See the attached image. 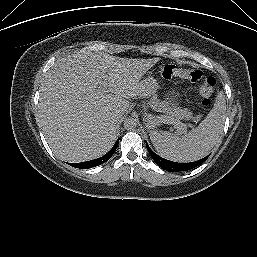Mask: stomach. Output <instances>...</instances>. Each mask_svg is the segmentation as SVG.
<instances>
[{"label": "stomach", "instance_id": "0dacf381", "mask_svg": "<svg viewBox=\"0 0 257 257\" xmlns=\"http://www.w3.org/2000/svg\"><path fill=\"white\" fill-rule=\"evenodd\" d=\"M141 88H142V96H151L154 95L159 89L160 85L158 81L153 77H148L141 81ZM151 126H154L158 123V121L151 120L150 116H147Z\"/></svg>", "mask_w": 257, "mask_h": 257}]
</instances>
